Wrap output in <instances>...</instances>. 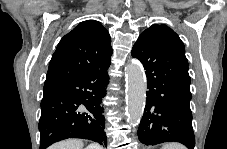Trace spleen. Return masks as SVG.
<instances>
[{
  "mask_svg": "<svg viewBox=\"0 0 227 149\" xmlns=\"http://www.w3.org/2000/svg\"><path fill=\"white\" fill-rule=\"evenodd\" d=\"M162 149H185V147L179 143H167L162 146Z\"/></svg>",
  "mask_w": 227,
  "mask_h": 149,
  "instance_id": "3e777b00",
  "label": "spleen"
}]
</instances>
